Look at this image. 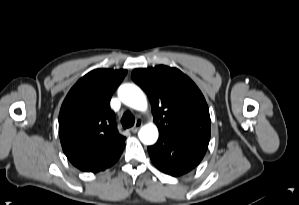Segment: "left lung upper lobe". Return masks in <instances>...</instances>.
Segmentation results:
<instances>
[{
	"mask_svg": "<svg viewBox=\"0 0 299 205\" xmlns=\"http://www.w3.org/2000/svg\"><path fill=\"white\" fill-rule=\"evenodd\" d=\"M132 79L147 94L159 135L210 140L207 103L195 83L177 68L135 69Z\"/></svg>",
	"mask_w": 299,
	"mask_h": 205,
	"instance_id": "obj_1",
	"label": "left lung upper lobe"
}]
</instances>
